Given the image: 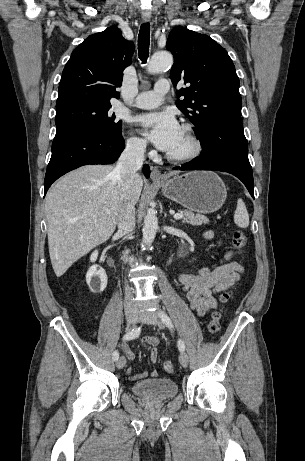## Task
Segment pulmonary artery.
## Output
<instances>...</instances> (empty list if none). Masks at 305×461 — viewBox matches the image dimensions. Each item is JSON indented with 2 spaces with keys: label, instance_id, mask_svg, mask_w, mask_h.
Here are the masks:
<instances>
[{
  "label": "pulmonary artery",
  "instance_id": "obj_1",
  "mask_svg": "<svg viewBox=\"0 0 305 461\" xmlns=\"http://www.w3.org/2000/svg\"><path fill=\"white\" fill-rule=\"evenodd\" d=\"M170 84L167 79H161L154 85L151 91H145L137 95L132 105L137 108L151 109L162 102L163 96L169 91Z\"/></svg>",
  "mask_w": 305,
  "mask_h": 461
}]
</instances>
